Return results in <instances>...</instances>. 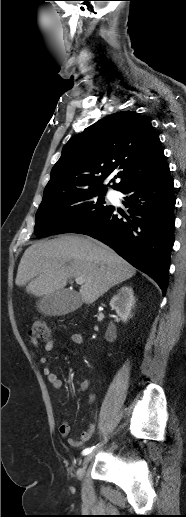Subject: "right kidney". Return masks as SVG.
Returning <instances> with one entry per match:
<instances>
[{
	"label": "right kidney",
	"mask_w": 186,
	"mask_h": 517,
	"mask_svg": "<svg viewBox=\"0 0 186 517\" xmlns=\"http://www.w3.org/2000/svg\"><path fill=\"white\" fill-rule=\"evenodd\" d=\"M135 304L133 289L130 286L122 287L110 301V306L116 311L120 319L126 323L131 317V310Z\"/></svg>",
	"instance_id": "obj_1"
}]
</instances>
